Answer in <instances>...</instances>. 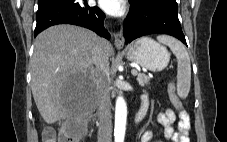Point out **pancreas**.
<instances>
[{
    "mask_svg": "<svg viewBox=\"0 0 227 142\" xmlns=\"http://www.w3.org/2000/svg\"><path fill=\"white\" fill-rule=\"evenodd\" d=\"M137 81L140 86H147L149 84L150 77L146 76L145 74H138Z\"/></svg>",
    "mask_w": 227,
    "mask_h": 142,
    "instance_id": "1",
    "label": "pancreas"
}]
</instances>
